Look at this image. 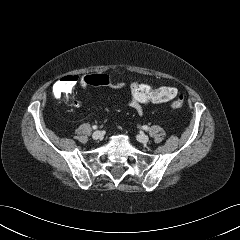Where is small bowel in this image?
Instances as JSON below:
<instances>
[{
  "label": "small bowel",
  "instance_id": "1",
  "mask_svg": "<svg viewBox=\"0 0 240 240\" xmlns=\"http://www.w3.org/2000/svg\"><path fill=\"white\" fill-rule=\"evenodd\" d=\"M73 104L78 105V103L74 102V101H73ZM129 104H130V106L134 109V111L138 115H142L143 114L142 104L136 102L131 96H130V99H129Z\"/></svg>",
  "mask_w": 240,
  "mask_h": 240
}]
</instances>
